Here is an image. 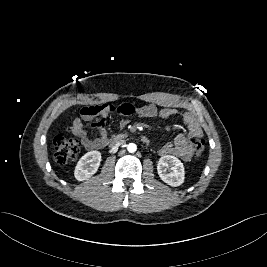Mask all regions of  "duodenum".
<instances>
[{"label": "duodenum", "instance_id": "1", "mask_svg": "<svg viewBox=\"0 0 267 267\" xmlns=\"http://www.w3.org/2000/svg\"><path fill=\"white\" fill-rule=\"evenodd\" d=\"M125 139V136L124 135H117L115 137H113L111 140H110V144L112 147H116L117 145H119L123 140ZM140 140L147 144L149 142V139L146 137V136H140Z\"/></svg>", "mask_w": 267, "mask_h": 267}]
</instances>
